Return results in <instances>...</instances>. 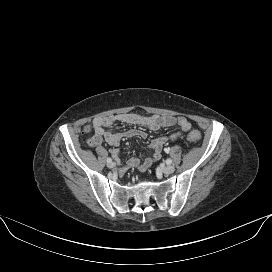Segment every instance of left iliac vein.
Segmentation results:
<instances>
[{"instance_id": "obj_1", "label": "left iliac vein", "mask_w": 272, "mask_h": 272, "mask_svg": "<svg viewBox=\"0 0 272 272\" xmlns=\"http://www.w3.org/2000/svg\"><path fill=\"white\" fill-rule=\"evenodd\" d=\"M161 171L164 174H171L175 171V167L173 165H165L161 167Z\"/></svg>"}]
</instances>
